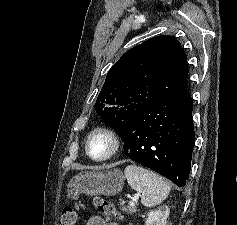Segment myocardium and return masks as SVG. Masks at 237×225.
I'll use <instances>...</instances> for the list:
<instances>
[{
	"label": "myocardium",
	"instance_id": "f54148a6",
	"mask_svg": "<svg viewBox=\"0 0 237 225\" xmlns=\"http://www.w3.org/2000/svg\"><path fill=\"white\" fill-rule=\"evenodd\" d=\"M97 137H104L108 143V150L101 156H94L91 152L92 141ZM121 148V140L118 134L108 127H98L92 130L86 138L85 151L89 158L97 162L108 161L113 158Z\"/></svg>",
	"mask_w": 237,
	"mask_h": 225
}]
</instances>
